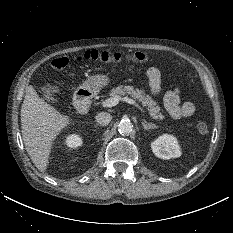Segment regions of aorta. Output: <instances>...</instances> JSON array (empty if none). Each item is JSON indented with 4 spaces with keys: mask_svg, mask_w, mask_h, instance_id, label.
I'll return each instance as SVG.
<instances>
[{
    "mask_svg": "<svg viewBox=\"0 0 233 233\" xmlns=\"http://www.w3.org/2000/svg\"><path fill=\"white\" fill-rule=\"evenodd\" d=\"M118 131L120 134L129 135L133 131V124L129 120H122L118 125Z\"/></svg>",
    "mask_w": 233,
    "mask_h": 233,
    "instance_id": "obj_1",
    "label": "aorta"
}]
</instances>
